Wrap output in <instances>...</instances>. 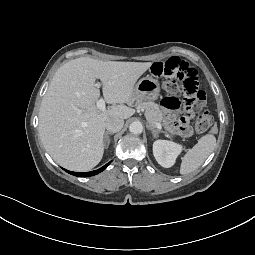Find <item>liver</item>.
<instances>
[{
  "label": "liver",
  "mask_w": 255,
  "mask_h": 255,
  "mask_svg": "<svg viewBox=\"0 0 255 255\" xmlns=\"http://www.w3.org/2000/svg\"><path fill=\"white\" fill-rule=\"evenodd\" d=\"M151 62L101 61L80 57L62 65L54 74L39 111V136L46 151L60 166L89 171L102 159L108 118L128 119L135 110L134 87ZM102 83L104 100L119 104L97 108Z\"/></svg>",
  "instance_id": "1"
}]
</instances>
